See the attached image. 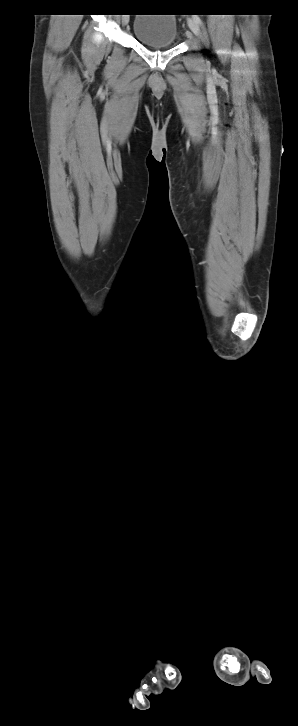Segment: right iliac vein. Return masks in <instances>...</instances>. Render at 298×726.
Returning <instances> with one entry per match:
<instances>
[{
	"mask_svg": "<svg viewBox=\"0 0 298 726\" xmlns=\"http://www.w3.org/2000/svg\"><path fill=\"white\" fill-rule=\"evenodd\" d=\"M128 22H129V17L127 15L123 16V18H122V24L123 25H127Z\"/></svg>",
	"mask_w": 298,
	"mask_h": 726,
	"instance_id": "right-iliac-vein-1",
	"label": "right iliac vein"
}]
</instances>
